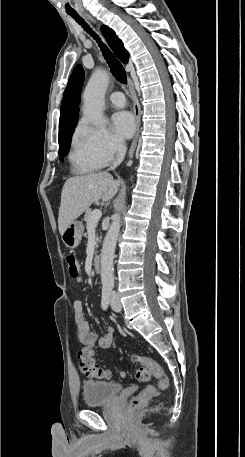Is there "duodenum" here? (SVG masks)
<instances>
[{"mask_svg": "<svg viewBox=\"0 0 245 457\" xmlns=\"http://www.w3.org/2000/svg\"><path fill=\"white\" fill-rule=\"evenodd\" d=\"M92 266L95 271H99L101 268V256L95 255L92 260Z\"/></svg>", "mask_w": 245, "mask_h": 457, "instance_id": "1", "label": "duodenum"}]
</instances>
